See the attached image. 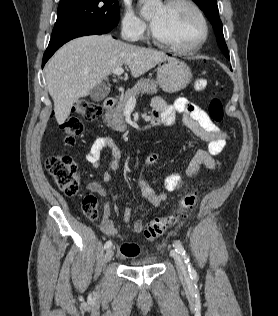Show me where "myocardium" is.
Instances as JSON below:
<instances>
[{
  "mask_svg": "<svg viewBox=\"0 0 278 316\" xmlns=\"http://www.w3.org/2000/svg\"><path fill=\"white\" fill-rule=\"evenodd\" d=\"M166 6H173V5H177V4H185L187 6H189L197 15V17L199 18V21L201 23L202 26V35L201 38L199 39V41L191 46V47H181V46H177L163 38H161L155 31L152 23L150 25V36L152 41L161 47H164L166 49H169L173 52L179 53V54H193L197 51H199L204 44L206 43L208 37H209V24L207 21V18L203 12V10L200 8V6L195 3L193 0H166L164 3Z\"/></svg>",
  "mask_w": 278,
  "mask_h": 316,
  "instance_id": "myocardium-1",
  "label": "myocardium"
}]
</instances>
